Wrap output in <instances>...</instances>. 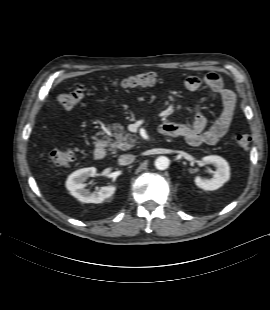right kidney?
<instances>
[{
	"label": "right kidney",
	"mask_w": 270,
	"mask_h": 310,
	"mask_svg": "<svg viewBox=\"0 0 270 310\" xmlns=\"http://www.w3.org/2000/svg\"><path fill=\"white\" fill-rule=\"evenodd\" d=\"M96 174L95 167H88L79 169L69 175L66 181V188L70 191L71 195L84 203H102L105 199L111 197L116 187L108 185L101 187L97 192H90L85 189L84 182L88 177H93Z\"/></svg>",
	"instance_id": "obj_1"
}]
</instances>
